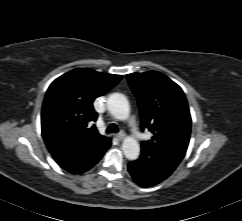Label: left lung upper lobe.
<instances>
[{
    "mask_svg": "<svg viewBox=\"0 0 242 221\" xmlns=\"http://www.w3.org/2000/svg\"><path fill=\"white\" fill-rule=\"evenodd\" d=\"M138 99L141 130L149 129L152 140L142 147L169 156L180 163L190 139L191 116L182 89L156 71L126 75Z\"/></svg>",
    "mask_w": 242,
    "mask_h": 221,
    "instance_id": "left-lung-upper-lobe-1",
    "label": "left lung upper lobe"
}]
</instances>
